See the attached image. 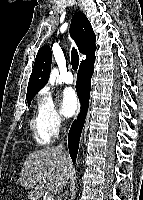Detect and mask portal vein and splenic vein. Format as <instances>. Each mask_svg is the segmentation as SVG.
<instances>
[{"label": "portal vein and splenic vein", "mask_w": 143, "mask_h": 200, "mask_svg": "<svg viewBox=\"0 0 143 200\" xmlns=\"http://www.w3.org/2000/svg\"><path fill=\"white\" fill-rule=\"evenodd\" d=\"M43 177L46 178L47 177V172L45 171L43 173ZM47 200H54V197L52 195L47 196Z\"/></svg>", "instance_id": "18ae733b"}]
</instances>
